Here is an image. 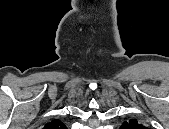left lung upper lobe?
I'll return each instance as SVG.
<instances>
[{"instance_id": "obj_1", "label": "left lung upper lobe", "mask_w": 169, "mask_h": 129, "mask_svg": "<svg viewBox=\"0 0 169 129\" xmlns=\"http://www.w3.org/2000/svg\"><path fill=\"white\" fill-rule=\"evenodd\" d=\"M120 129H145V127L142 124L138 123L137 120L130 119L128 121H125L121 125Z\"/></svg>"}]
</instances>
